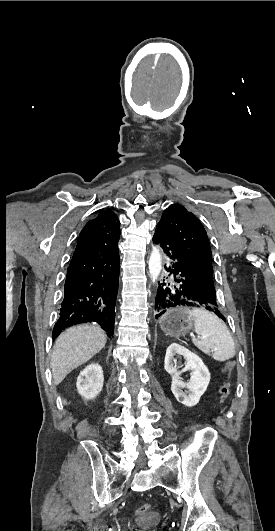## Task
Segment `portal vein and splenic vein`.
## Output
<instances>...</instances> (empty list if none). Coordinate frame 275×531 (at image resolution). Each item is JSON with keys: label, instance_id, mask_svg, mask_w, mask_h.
<instances>
[{"label": "portal vein and splenic vein", "instance_id": "1", "mask_svg": "<svg viewBox=\"0 0 275 531\" xmlns=\"http://www.w3.org/2000/svg\"><path fill=\"white\" fill-rule=\"evenodd\" d=\"M192 342H195V339H192ZM200 342H205V339H200Z\"/></svg>", "mask_w": 275, "mask_h": 531}]
</instances>
